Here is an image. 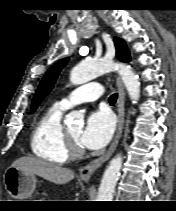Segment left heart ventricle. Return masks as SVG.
Masks as SVG:
<instances>
[{
  "label": "left heart ventricle",
  "mask_w": 176,
  "mask_h": 211,
  "mask_svg": "<svg viewBox=\"0 0 176 211\" xmlns=\"http://www.w3.org/2000/svg\"><path fill=\"white\" fill-rule=\"evenodd\" d=\"M68 132L70 133V135L76 140L79 142V138H80V135L82 133V128L81 127H78V126H75V127H71V128H68ZM80 143V142H79Z\"/></svg>",
  "instance_id": "left-heart-ventricle-1"
}]
</instances>
